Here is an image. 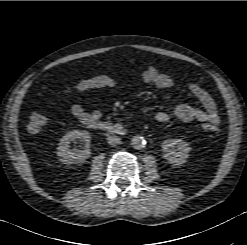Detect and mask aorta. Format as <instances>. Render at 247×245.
<instances>
[{
  "label": "aorta",
  "mask_w": 247,
  "mask_h": 245,
  "mask_svg": "<svg viewBox=\"0 0 247 245\" xmlns=\"http://www.w3.org/2000/svg\"><path fill=\"white\" fill-rule=\"evenodd\" d=\"M131 144H132L133 148H135L137 150H142L146 146V141H145L144 137H142L140 135H136L132 138Z\"/></svg>",
  "instance_id": "obj_1"
}]
</instances>
